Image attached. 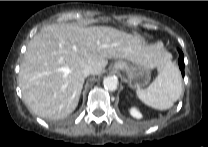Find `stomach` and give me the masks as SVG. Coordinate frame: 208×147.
I'll list each match as a JSON object with an SVG mask.
<instances>
[{"instance_id": "obj_1", "label": "stomach", "mask_w": 208, "mask_h": 147, "mask_svg": "<svg viewBox=\"0 0 208 147\" xmlns=\"http://www.w3.org/2000/svg\"><path fill=\"white\" fill-rule=\"evenodd\" d=\"M113 69L125 72L128 77L129 86L134 89H140L150 81V70L136 62L117 60L113 65Z\"/></svg>"}]
</instances>
